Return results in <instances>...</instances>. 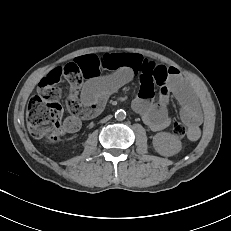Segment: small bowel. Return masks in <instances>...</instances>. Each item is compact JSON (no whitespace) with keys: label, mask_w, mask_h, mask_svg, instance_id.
I'll list each match as a JSON object with an SVG mask.
<instances>
[{"label":"small bowel","mask_w":231,"mask_h":231,"mask_svg":"<svg viewBox=\"0 0 231 231\" xmlns=\"http://www.w3.org/2000/svg\"><path fill=\"white\" fill-rule=\"evenodd\" d=\"M62 75L70 86L67 107L71 114L64 122L66 132L78 131L82 120L98 115L107 98L137 76L140 89L132 108L151 130L160 131L170 125L168 102L172 93L181 104V118L188 125V138L197 140L200 136L199 105L174 67L134 53L89 54L52 70L43 80L55 83ZM156 89L159 96L155 102Z\"/></svg>","instance_id":"1"}]
</instances>
